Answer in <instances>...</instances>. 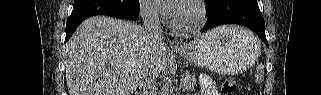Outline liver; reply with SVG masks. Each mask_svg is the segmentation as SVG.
<instances>
[{"mask_svg": "<svg viewBox=\"0 0 321 95\" xmlns=\"http://www.w3.org/2000/svg\"><path fill=\"white\" fill-rule=\"evenodd\" d=\"M64 56L69 95H131L144 72L159 76L168 48L134 22L94 16L76 29Z\"/></svg>", "mask_w": 321, "mask_h": 95, "instance_id": "1", "label": "liver"}]
</instances>
